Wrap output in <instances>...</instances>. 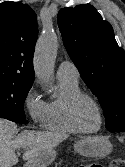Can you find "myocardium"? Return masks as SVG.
<instances>
[{"label":"myocardium","mask_w":125,"mask_h":167,"mask_svg":"<svg viewBox=\"0 0 125 167\" xmlns=\"http://www.w3.org/2000/svg\"><path fill=\"white\" fill-rule=\"evenodd\" d=\"M83 100L91 101L95 105V107L98 111L99 125L96 129H93V130L84 129L83 127H81V125L78 122L77 109H78L79 104ZM67 112H68V117H69L71 124L80 133L94 134V133H97L103 126L104 118H103L102 107H101L99 101L90 94L80 92V93L75 94L73 97H71L69 102H68Z\"/></svg>","instance_id":"1"}]
</instances>
